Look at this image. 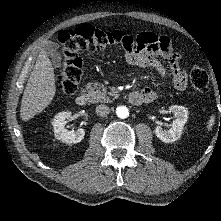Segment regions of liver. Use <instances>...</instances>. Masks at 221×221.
<instances>
[{
  "label": "liver",
  "mask_w": 221,
  "mask_h": 221,
  "mask_svg": "<svg viewBox=\"0 0 221 221\" xmlns=\"http://www.w3.org/2000/svg\"><path fill=\"white\" fill-rule=\"evenodd\" d=\"M56 93L54 68L42 48L28 79L21 101L20 117L28 121L42 112Z\"/></svg>",
  "instance_id": "1"
}]
</instances>
